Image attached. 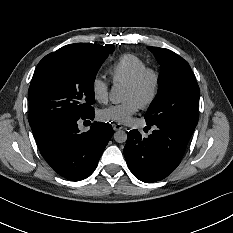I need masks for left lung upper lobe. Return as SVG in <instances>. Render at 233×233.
Instances as JSON below:
<instances>
[{"label":"left lung upper lobe","instance_id":"obj_1","mask_svg":"<svg viewBox=\"0 0 233 233\" xmlns=\"http://www.w3.org/2000/svg\"><path fill=\"white\" fill-rule=\"evenodd\" d=\"M162 72L158 94L145 114L147 125L196 127L200 89L188 62L171 50L150 47Z\"/></svg>","mask_w":233,"mask_h":233}]
</instances>
